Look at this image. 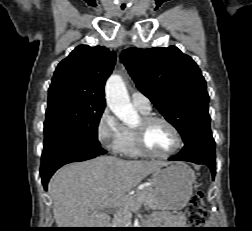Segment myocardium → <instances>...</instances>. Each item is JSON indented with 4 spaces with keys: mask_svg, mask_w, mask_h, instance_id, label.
Masks as SVG:
<instances>
[{
    "mask_svg": "<svg viewBox=\"0 0 252 231\" xmlns=\"http://www.w3.org/2000/svg\"><path fill=\"white\" fill-rule=\"evenodd\" d=\"M155 122H162V123L166 124L171 129V131L173 132L174 137H175L174 147L169 152H167L165 154H159V153L153 152L148 147L147 142H146V132H147L148 128ZM133 131H134L135 141H136V145H137L138 149L144 155H147L150 157L169 158V157L173 156L174 154H176L182 146V136H181L178 128L170 120H168L165 117L154 116V115L144 116L140 120V124L137 127L133 128Z\"/></svg>",
    "mask_w": 252,
    "mask_h": 231,
    "instance_id": "myocardium-1",
    "label": "myocardium"
}]
</instances>
